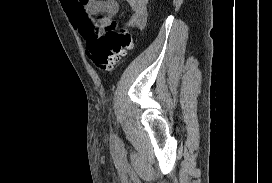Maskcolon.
Wrapping results in <instances>:
<instances>
[{"mask_svg":"<svg viewBox=\"0 0 272 183\" xmlns=\"http://www.w3.org/2000/svg\"><path fill=\"white\" fill-rule=\"evenodd\" d=\"M117 28L110 30L88 41L87 54L94 65L102 71L114 70L118 61L124 57L132 47L130 33L118 23Z\"/></svg>","mask_w":272,"mask_h":183,"instance_id":"colon-1","label":"colon"}]
</instances>
